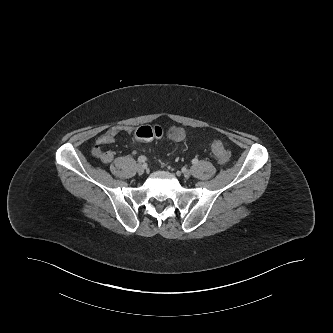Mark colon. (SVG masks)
Listing matches in <instances>:
<instances>
[{"label": "colon", "instance_id": "5ec220e1", "mask_svg": "<svg viewBox=\"0 0 333 333\" xmlns=\"http://www.w3.org/2000/svg\"><path fill=\"white\" fill-rule=\"evenodd\" d=\"M165 134L163 127L159 125L149 126L144 125L140 126L135 132V138L142 141L152 140L156 138H161ZM170 138L175 140H181L184 137L182 129L178 127H171L168 131ZM212 153L220 163H225L230 158V152L225 147V145L220 141H214L212 143Z\"/></svg>", "mask_w": 333, "mask_h": 333}]
</instances>
